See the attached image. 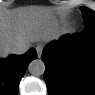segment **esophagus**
Listing matches in <instances>:
<instances>
[{
  "label": "esophagus",
  "instance_id": "1",
  "mask_svg": "<svg viewBox=\"0 0 95 95\" xmlns=\"http://www.w3.org/2000/svg\"><path fill=\"white\" fill-rule=\"evenodd\" d=\"M43 45L42 44H38L37 46H36V51H37V54H38V57L40 58L41 57V55H42V52H43Z\"/></svg>",
  "mask_w": 95,
  "mask_h": 95
}]
</instances>
